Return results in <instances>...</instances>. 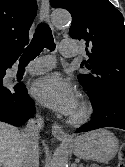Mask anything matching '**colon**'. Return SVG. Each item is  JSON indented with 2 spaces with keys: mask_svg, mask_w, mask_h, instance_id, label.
I'll return each mask as SVG.
<instances>
[{
  "mask_svg": "<svg viewBox=\"0 0 125 167\" xmlns=\"http://www.w3.org/2000/svg\"><path fill=\"white\" fill-rule=\"evenodd\" d=\"M117 167H125V143H123L120 148L119 162Z\"/></svg>",
  "mask_w": 125,
  "mask_h": 167,
  "instance_id": "obj_1",
  "label": "colon"
}]
</instances>
